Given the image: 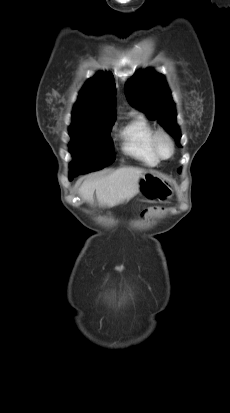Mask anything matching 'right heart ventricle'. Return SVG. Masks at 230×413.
Listing matches in <instances>:
<instances>
[{
	"label": "right heart ventricle",
	"instance_id": "e07e8e85",
	"mask_svg": "<svg viewBox=\"0 0 230 413\" xmlns=\"http://www.w3.org/2000/svg\"><path fill=\"white\" fill-rule=\"evenodd\" d=\"M153 131V126L143 115L135 114L120 132L123 151L146 164H156L158 158L151 143Z\"/></svg>",
	"mask_w": 230,
	"mask_h": 413
}]
</instances>
